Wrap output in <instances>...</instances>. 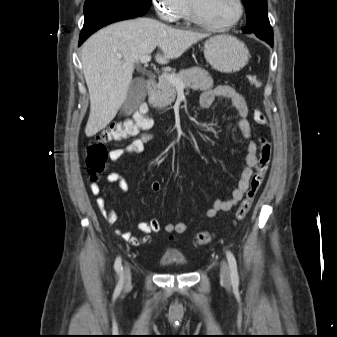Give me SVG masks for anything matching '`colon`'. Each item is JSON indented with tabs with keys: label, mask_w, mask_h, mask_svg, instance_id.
<instances>
[{
	"label": "colon",
	"mask_w": 337,
	"mask_h": 337,
	"mask_svg": "<svg viewBox=\"0 0 337 337\" xmlns=\"http://www.w3.org/2000/svg\"><path fill=\"white\" fill-rule=\"evenodd\" d=\"M249 83L254 88H260L262 83L257 75L249 76ZM144 106H149V101H144ZM156 118L155 112L143 109L137 113L134 119L116 122L91 138L86 145L85 164L88 175L92 182H97L98 175L104 170L108 158L106 145L112 142H120L137 136L141 130L151 126V119ZM252 119L257 126H265L267 123L263 111L256 107L252 113ZM259 154L255 165V171L250 178L249 187L236 210L234 222H239L249 213L260 186L265 178L271 159V144L265 137L258 138ZM213 234L208 231L198 232L194 237L196 245H205L212 241Z\"/></svg>",
	"instance_id": "1"
}]
</instances>
